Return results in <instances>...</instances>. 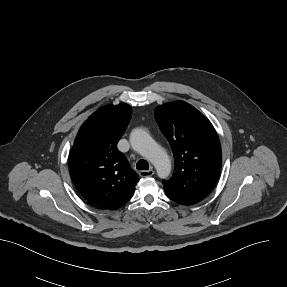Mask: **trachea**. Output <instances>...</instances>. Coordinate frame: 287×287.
Wrapping results in <instances>:
<instances>
[{"label":"trachea","mask_w":287,"mask_h":287,"mask_svg":"<svg viewBox=\"0 0 287 287\" xmlns=\"http://www.w3.org/2000/svg\"><path fill=\"white\" fill-rule=\"evenodd\" d=\"M136 168L138 170H148L149 169V163L146 160H139L136 164Z\"/></svg>","instance_id":"obj_1"}]
</instances>
